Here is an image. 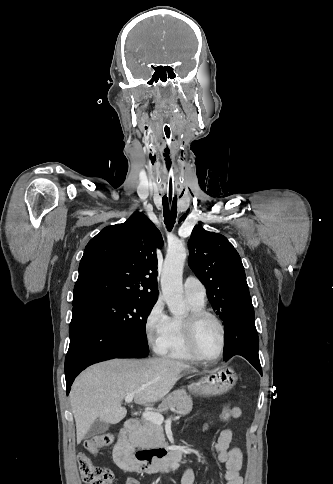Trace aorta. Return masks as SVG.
Masks as SVG:
<instances>
[{"label": "aorta", "instance_id": "obj_1", "mask_svg": "<svg viewBox=\"0 0 333 484\" xmlns=\"http://www.w3.org/2000/svg\"><path fill=\"white\" fill-rule=\"evenodd\" d=\"M186 260V248L182 243L169 247L161 274V290L172 314L184 312L182 274Z\"/></svg>", "mask_w": 333, "mask_h": 484}]
</instances>
